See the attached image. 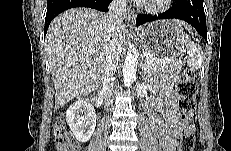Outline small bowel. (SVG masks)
I'll return each instance as SVG.
<instances>
[{
  "instance_id": "small-bowel-1",
  "label": "small bowel",
  "mask_w": 231,
  "mask_h": 151,
  "mask_svg": "<svg viewBox=\"0 0 231 151\" xmlns=\"http://www.w3.org/2000/svg\"><path fill=\"white\" fill-rule=\"evenodd\" d=\"M177 79L166 76L155 84L157 94L147 104L149 121L163 151H176L178 139L194 127L179 119L177 97L173 87Z\"/></svg>"
}]
</instances>
